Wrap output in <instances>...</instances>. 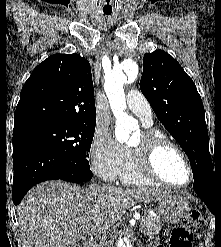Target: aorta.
I'll use <instances>...</instances> for the list:
<instances>
[{"mask_svg": "<svg viewBox=\"0 0 221 247\" xmlns=\"http://www.w3.org/2000/svg\"><path fill=\"white\" fill-rule=\"evenodd\" d=\"M127 75L131 79L137 77L138 66L135 62H128L122 66L113 68L105 76L104 84L111 110L117 119L115 136L119 142L127 141L131 132L138 128L137 121L125 113L126 99L123 85L127 82ZM116 247H127V245L123 240H118Z\"/></svg>", "mask_w": 221, "mask_h": 247, "instance_id": "1", "label": "aorta"}]
</instances>
